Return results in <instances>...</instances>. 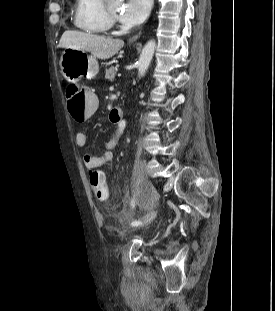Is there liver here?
Returning a JSON list of instances; mask_svg holds the SVG:
<instances>
[{
	"label": "liver",
	"mask_w": 275,
	"mask_h": 311,
	"mask_svg": "<svg viewBox=\"0 0 275 311\" xmlns=\"http://www.w3.org/2000/svg\"><path fill=\"white\" fill-rule=\"evenodd\" d=\"M123 46V40L80 31H65L59 42V47L91 52L93 56L101 60L113 57Z\"/></svg>",
	"instance_id": "1"
}]
</instances>
